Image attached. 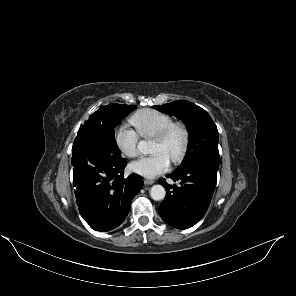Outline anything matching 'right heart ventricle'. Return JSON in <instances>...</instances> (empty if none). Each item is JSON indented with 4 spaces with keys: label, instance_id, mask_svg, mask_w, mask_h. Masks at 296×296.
Instances as JSON below:
<instances>
[{
    "label": "right heart ventricle",
    "instance_id": "e07e8e85",
    "mask_svg": "<svg viewBox=\"0 0 296 296\" xmlns=\"http://www.w3.org/2000/svg\"><path fill=\"white\" fill-rule=\"evenodd\" d=\"M130 121L140 136L154 138L172 122V118L157 110L143 109L135 113Z\"/></svg>",
    "mask_w": 296,
    "mask_h": 296
}]
</instances>
